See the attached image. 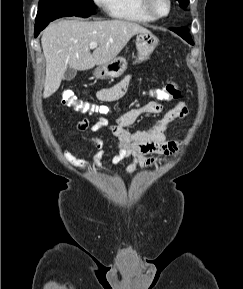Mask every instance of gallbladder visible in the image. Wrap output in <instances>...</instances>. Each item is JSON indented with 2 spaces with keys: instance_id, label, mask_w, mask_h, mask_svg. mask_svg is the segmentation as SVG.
Masks as SVG:
<instances>
[{
  "instance_id": "gallbladder-1",
  "label": "gallbladder",
  "mask_w": 243,
  "mask_h": 289,
  "mask_svg": "<svg viewBox=\"0 0 243 289\" xmlns=\"http://www.w3.org/2000/svg\"><path fill=\"white\" fill-rule=\"evenodd\" d=\"M76 72L77 71L75 69H73L71 67H68L67 70L64 73L63 79L66 80V81H71L76 76Z\"/></svg>"
}]
</instances>
